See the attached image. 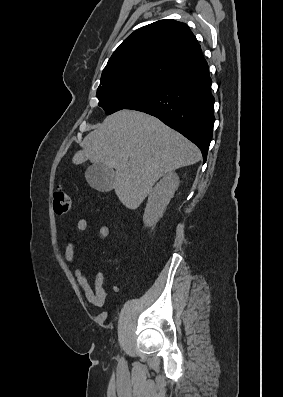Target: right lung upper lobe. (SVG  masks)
Here are the masks:
<instances>
[{"label":"right lung upper lobe","mask_w":283,"mask_h":397,"mask_svg":"<svg viewBox=\"0 0 283 397\" xmlns=\"http://www.w3.org/2000/svg\"><path fill=\"white\" fill-rule=\"evenodd\" d=\"M206 66L201 47L188 25L165 19L127 37L112 54L101 79L146 74L170 81Z\"/></svg>","instance_id":"obj_1"}]
</instances>
